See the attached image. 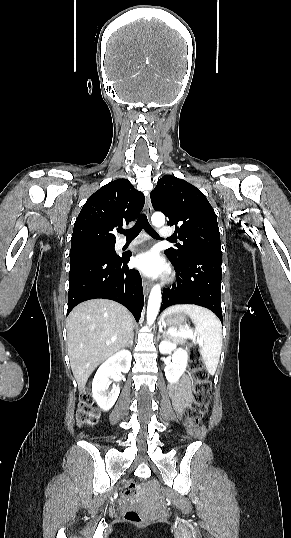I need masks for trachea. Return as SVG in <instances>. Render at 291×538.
<instances>
[{
	"label": "trachea",
	"mask_w": 291,
	"mask_h": 538,
	"mask_svg": "<svg viewBox=\"0 0 291 538\" xmlns=\"http://www.w3.org/2000/svg\"><path fill=\"white\" fill-rule=\"evenodd\" d=\"M142 229H144L151 237L155 239H160V236L149 224L147 216L145 214H142L138 218L137 222L131 229L123 230L121 233H123L127 239H134L141 232Z\"/></svg>",
	"instance_id": "trachea-1"
}]
</instances>
